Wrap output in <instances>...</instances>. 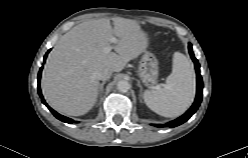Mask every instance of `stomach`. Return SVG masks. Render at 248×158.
Returning a JSON list of instances; mask_svg holds the SVG:
<instances>
[{
  "instance_id": "stomach-1",
  "label": "stomach",
  "mask_w": 248,
  "mask_h": 158,
  "mask_svg": "<svg viewBox=\"0 0 248 158\" xmlns=\"http://www.w3.org/2000/svg\"><path fill=\"white\" fill-rule=\"evenodd\" d=\"M138 75L141 81L148 87L157 83L159 75L158 60L154 54L146 51L141 58L138 67Z\"/></svg>"
}]
</instances>
